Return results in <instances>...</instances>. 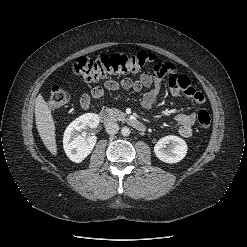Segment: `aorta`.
Here are the masks:
<instances>
[{
  "label": "aorta",
  "instance_id": "1",
  "mask_svg": "<svg viewBox=\"0 0 247 247\" xmlns=\"http://www.w3.org/2000/svg\"><path fill=\"white\" fill-rule=\"evenodd\" d=\"M121 134H122L123 136H128V135L130 134V129H129L128 127H123V128L121 129Z\"/></svg>",
  "mask_w": 247,
  "mask_h": 247
}]
</instances>
